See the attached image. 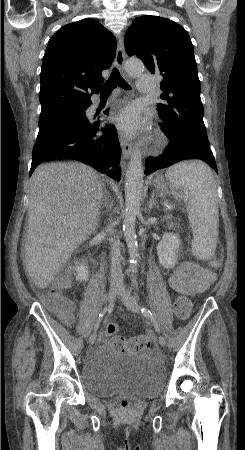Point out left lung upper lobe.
Segmentation results:
<instances>
[{
	"instance_id": "1",
	"label": "left lung upper lobe",
	"mask_w": 245,
	"mask_h": 450,
	"mask_svg": "<svg viewBox=\"0 0 245 450\" xmlns=\"http://www.w3.org/2000/svg\"><path fill=\"white\" fill-rule=\"evenodd\" d=\"M124 44L129 56L139 57L152 74L163 76L160 98L165 103L157 107L168 134L208 142L194 49L186 30L169 19L144 15L128 28Z\"/></svg>"
}]
</instances>
